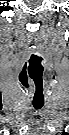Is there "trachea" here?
I'll use <instances>...</instances> for the list:
<instances>
[{"label":"trachea","instance_id":"trachea-1","mask_svg":"<svg viewBox=\"0 0 69 135\" xmlns=\"http://www.w3.org/2000/svg\"><path fill=\"white\" fill-rule=\"evenodd\" d=\"M43 105H44V103H33V107L36 110L41 109Z\"/></svg>","mask_w":69,"mask_h":135}]
</instances>
